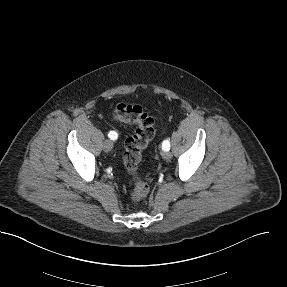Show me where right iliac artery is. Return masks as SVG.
Returning <instances> with one entry per match:
<instances>
[{
    "instance_id": "82829eb1",
    "label": "right iliac artery",
    "mask_w": 287,
    "mask_h": 287,
    "mask_svg": "<svg viewBox=\"0 0 287 287\" xmlns=\"http://www.w3.org/2000/svg\"><path fill=\"white\" fill-rule=\"evenodd\" d=\"M108 137H109L111 140H116L117 137H118V134H117L115 131H110L109 134H108Z\"/></svg>"
}]
</instances>
